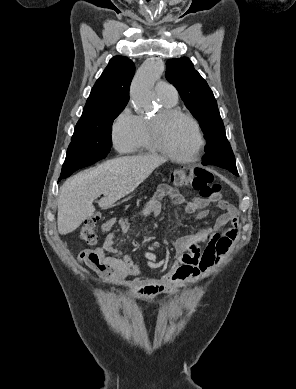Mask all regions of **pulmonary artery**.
Masks as SVG:
<instances>
[{
    "label": "pulmonary artery",
    "instance_id": "obj_1",
    "mask_svg": "<svg viewBox=\"0 0 296 389\" xmlns=\"http://www.w3.org/2000/svg\"><path fill=\"white\" fill-rule=\"evenodd\" d=\"M155 92L159 97L170 99V100H177L178 93L175 87L166 82V81H159L155 85Z\"/></svg>",
    "mask_w": 296,
    "mask_h": 389
}]
</instances>
